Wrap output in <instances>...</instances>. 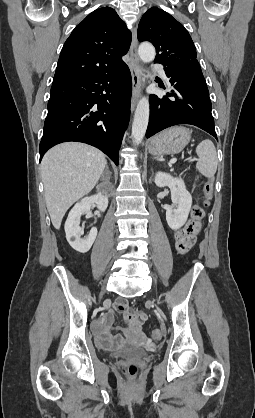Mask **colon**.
I'll use <instances>...</instances> for the list:
<instances>
[{"label": "colon", "instance_id": "5ec220e1", "mask_svg": "<svg viewBox=\"0 0 255 418\" xmlns=\"http://www.w3.org/2000/svg\"><path fill=\"white\" fill-rule=\"evenodd\" d=\"M214 193V182L209 179L204 186V207L209 206ZM204 217V210L200 206H195L191 211V217L183 228H198L201 229V221ZM190 250V249H189ZM152 338L157 340L161 337V333L158 330H154L151 334ZM122 372L129 376L134 377L138 373V365L134 362L124 363L122 365Z\"/></svg>", "mask_w": 255, "mask_h": 418}]
</instances>
